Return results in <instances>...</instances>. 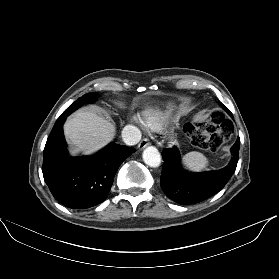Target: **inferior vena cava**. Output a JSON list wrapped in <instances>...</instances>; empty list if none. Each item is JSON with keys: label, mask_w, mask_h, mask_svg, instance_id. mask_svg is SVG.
<instances>
[{"label": "inferior vena cava", "mask_w": 279, "mask_h": 279, "mask_svg": "<svg viewBox=\"0 0 279 279\" xmlns=\"http://www.w3.org/2000/svg\"><path fill=\"white\" fill-rule=\"evenodd\" d=\"M122 138L127 145H136L141 140V132L137 127L127 125L122 130Z\"/></svg>", "instance_id": "602c4592"}]
</instances>
